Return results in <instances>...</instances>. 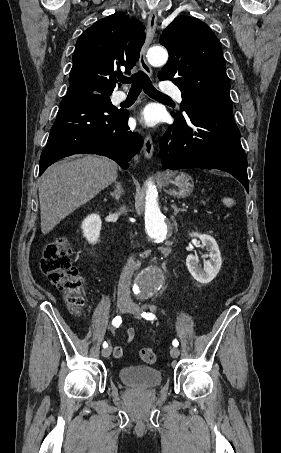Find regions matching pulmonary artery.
<instances>
[{
    "mask_svg": "<svg viewBox=\"0 0 281 453\" xmlns=\"http://www.w3.org/2000/svg\"><path fill=\"white\" fill-rule=\"evenodd\" d=\"M169 94L178 102H181L182 101V92L179 90V89H176V90H172L169 92ZM127 98V95L124 91L122 90H118V91H115L113 93V95L111 96V101L113 103H121L123 101H125Z\"/></svg>",
    "mask_w": 281,
    "mask_h": 453,
    "instance_id": "e3ab8cb5",
    "label": "pulmonary artery"
}]
</instances>
